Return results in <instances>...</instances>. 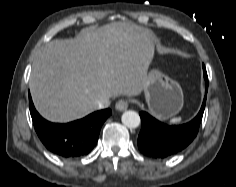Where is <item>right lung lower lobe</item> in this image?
I'll return each instance as SVG.
<instances>
[{"label": "right lung lower lobe", "mask_w": 236, "mask_h": 187, "mask_svg": "<svg viewBox=\"0 0 236 187\" xmlns=\"http://www.w3.org/2000/svg\"><path fill=\"white\" fill-rule=\"evenodd\" d=\"M29 108L35 131L42 143L63 158H76L90 153L97 143L102 124L112 114L110 109H105L74 122L58 124L48 122L39 115L30 95Z\"/></svg>", "instance_id": "1"}]
</instances>
